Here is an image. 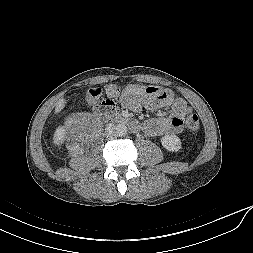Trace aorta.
I'll list each match as a JSON object with an SVG mask.
<instances>
[{
  "instance_id": "aorta-1",
  "label": "aorta",
  "mask_w": 253,
  "mask_h": 253,
  "mask_svg": "<svg viewBox=\"0 0 253 253\" xmlns=\"http://www.w3.org/2000/svg\"><path fill=\"white\" fill-rule=\"evenodd\" d=\"M117 136H124L127 134V127L124 124H118L114 127Z\"/></svg>"
}]
</instances>
